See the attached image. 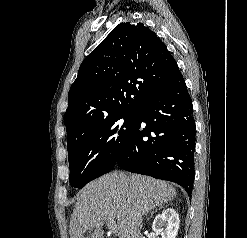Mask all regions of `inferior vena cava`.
Masks as SVG:
<instances>
[{
	"label": "inferior vena cava",
	"instance_id": "inferior-vena-cava-1",
	"mask_svg": "<svg viewBox=\"0 0 247 238\" xmlns=\"http://www.w3.org/2000/svg\"><path fill=\"white\" fill-rule=\"evenodd\" d=\"M137 221H138V225L140 226V225L142 224V218H141V215H139V216H138Z\"/></svg>",
	"mask_w": 247,
	"mask_h": 238
}]
</instances>
